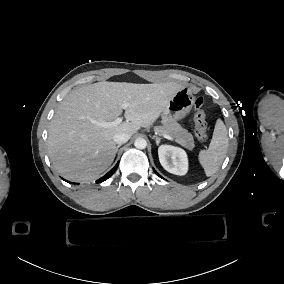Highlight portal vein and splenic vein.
I'll list each match as a JSON object with an SVG mask.
<instances>
[{"label":"portal vein and splenic vein","mask_w":284,"mask_h":284,"mask_svg":"<svg viewBox=\"0 0 284 284\" xmlns=\"http://www.w3.org/2000/svg\"><path fill=\"white\" fill-rule=\"evenodd\" d=\"M129 106V103L127 102H124L121 104V107L123 109H127ZM89 121L92 123V124H95L96 126H99V127H102V128H109V127H115V126H118L119 124L122 123V120L123 118L122 117H118L116 118L115 120L111 121V122H106V121H97L93 118H88ZM163 137L168 139V140H172V137L167 135V134H163Z\"/></svg>","instance_id":"18ae733b"}]
</instances>
